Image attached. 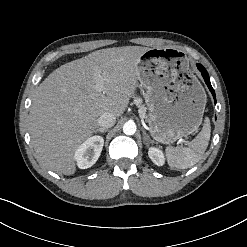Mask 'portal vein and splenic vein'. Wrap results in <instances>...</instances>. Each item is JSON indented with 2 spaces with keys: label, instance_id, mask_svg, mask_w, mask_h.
Here are the masks:
<instances>
[{
  "label": "portal vein and splenic vein",
  "instance_id": "18ae733b",
  "mask_svg": "<svg viewBox=\"0 0 247 247\" xmlns=\"http://www.w3.org/2000/svg\"><path fill=\"white\" fill-rule=\"evenodd\" d=\"M96 87L99 89V91H103L102 78H101L100 75L97 77V85H96ZM182 142H184V141H182Z\"/></svg>",
  "mask_w": 247,
  "mask_h": 247
}]
</instances>
